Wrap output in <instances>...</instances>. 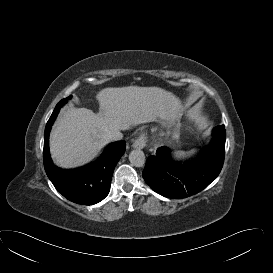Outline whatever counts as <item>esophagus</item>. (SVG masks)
<instances>
[{
	"mask_svg": "<svg viewBox=\"0 0 273 273\" xmlns=\"http://www.w3.org/2000/svg\"><path fill=\"white\" fill-rule=\"evenodd\" d=\"M147 136L142 133L133 143L132 147L135 149H143L146 146Z\"/></svg>",
	"mask_w": 273,
	"mask_h": 273,
	"instance_id": "esophagus-1",
	"label": "esophagus"
}]
</instances>
